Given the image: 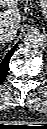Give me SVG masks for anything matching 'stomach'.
<instances>
[{
	"instance_id": "1",
	"label": "stomach",
	"mask_w": 47,
	"mask_h": 129,
	"mask_svg": "<svg viewBox=\"0 0 47 129\" xmlns=\"http://www.w3.org/2000/svg\"><path fill=\"white\" fill-rule=\"evenodd\" d=\"M38 3L40 4L45 17L47 18V0H38Z\"/></svg>"
}]
</instances>
